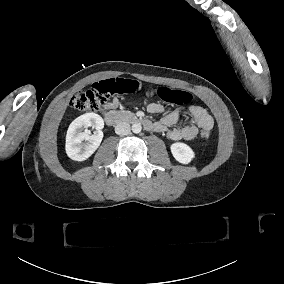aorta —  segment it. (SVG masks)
I'll use <instances>...</instances> for the list:
<instances>
[{"mask_svg":"<svg viewBox=\"0 0 284 284\" xmlns=\"http://www.w3.org/2000/svg\"><path fill=\"white\" fill-rule=\"evenodd\" d=\"M141 130H142L141 124L135 123V124L132 125V131H133L134 133H136V134H137V133H140Z\"/></svg>","mask_w":284,"mask_h":284,"instance_id":"1","label":"aorta"}]
</instances>
